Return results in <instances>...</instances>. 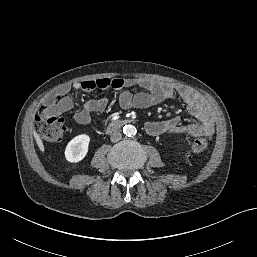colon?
Instances as JSON below:
<instances>
[{
    "mask_svg": "<svg viewBox=\"0 0 257 257\" xmlns=\"http://www.w3.org/2000/svg\"><path fill=\"white\" fill-rule=\"evenodd\" d=\"M63 100L64 95L56 94L53 98L54 104L44 105L35 117L34 128L38 135L45 141H60L67 133V127L60 117L61 112L56 108ZM207 146L208 139L206 137L197 138L192 145L190 153H201Z\"/></svg>",
    "mask_w": 257,
    "mask_h": 257,
    "instance_id": "obj_1",
    "label": "colon"
}]
</instances>
